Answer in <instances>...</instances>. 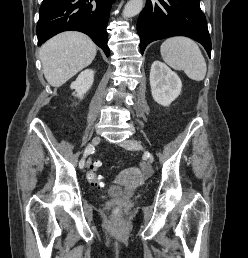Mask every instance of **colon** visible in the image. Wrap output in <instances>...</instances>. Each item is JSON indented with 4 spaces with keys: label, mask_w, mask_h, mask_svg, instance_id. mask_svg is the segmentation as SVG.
<instances>
[{
    "label": "colon",
    "mask_w": 248,
    "mask_h": 258,
    "mask_svg": "<svg viewBox=\"0 0 248 258\" xmlns=\"http://www.w3.org/2000/svg\"><path fill=\"white\" fill-rule=\"evenodd\" d=\"M90 170H91V172L89 174H85V179L89 180L91 182V184L96 187H103L104 182H103L102 176L95 172L98 170V164L92 163ZM115 211L118 212L119 208L115 207Z\"/></svg>",
    "instance_id": "1"
}]
</instances>
